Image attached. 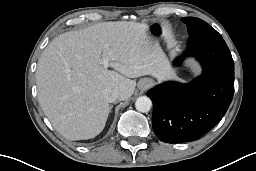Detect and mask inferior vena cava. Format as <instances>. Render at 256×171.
I'll return each instance as SVG.
<instances>
[{
    "label": "inferior vena cava",
    "instance_id": "602c4592",
    "mask_svg": "<svg viewBox=\"0 0 256 171\" xmlns=\"http://www.w3.org/2000/svg\"><path fill=\"white\" fill-rule=\"evenodd\" d=\"M103 98L108 102V103H113L114 101L117 100L119 97V93L116 89L112 88H106L102 92Z\"/></svg>",
    "mask_w": 256,
    "mask_h": 171
}]
</instances>
